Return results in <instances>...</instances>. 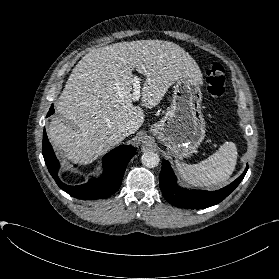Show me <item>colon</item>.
<instances>
[{
  "mask_svg": "<svg viewBox=\"0 0 279 279\" xmlns=\"http://www.w3.org/2000/svg\"><path fill=\"white\" fill-rule=\"evenodd\" d=\"M205 78L208 93L214 98L221 97L225 91V70L223 66L218 63L212 64L205 71Z\"/></svg>",
  "mask_w": 279,
  "mask_h": 279,
  "instance_id": "5ec220e1",
  "label": "colon"
}]
</instances>
